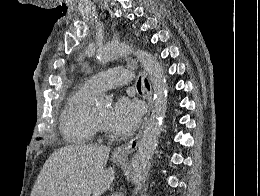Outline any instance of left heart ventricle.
<instances>
[{"mask_svg":"<svg viewBox=\"0 0 260 196\" xmlns=\"http://www.w3.org/2000/svg\"><path fill=\"white\" fill-rule=\"evenodd\" d=\"M96 115V117L105 125V126H108L107 125V118H108V115H109V108H104V109H100V110H96V111H93Z\"/></svg>","mask_w":260,"mask_h":196,"instance_id":"obj_1","label":"left heart ventricle"}]
</instances>
